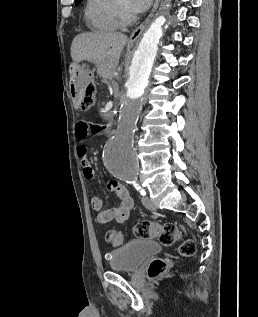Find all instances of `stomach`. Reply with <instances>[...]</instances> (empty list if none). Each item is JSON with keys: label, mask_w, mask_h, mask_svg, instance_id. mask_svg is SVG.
Listing matches in <instances>:
<instances>
[{"label": "stomach", "mask_w": 258, "mask_h": 317, "mask_svg": "<svg viewBox=\"0 0 258 317\" xmlns=\"http://www.w3.org/2000/svg\"><path fill=\"white\" fill-rule=\"evenodd\" d=\"M72 68H73L74 80H76L79 74H84V72H86L85 66H81V64H78V62H73Z\"/></svg>", "instance_id": "0dacf381"}]
</instances>
